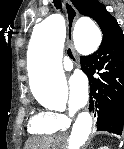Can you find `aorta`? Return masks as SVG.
<instances>
[{"instance_id":"obj_1","label":"aorta","mask_w":124,"mask_h":149,"mask_svg":"<svg viewBox=\"0 0 124 149\" xmlns=\"http://www.w3.org/2000/svg\"><path fill=\"white\" fill-rule=\"evenodd\" d=\"M74 45L81 54H90L99 47L102 35L96 24L87 17L77 20L73 32ZM65 20L52 14L37 24L28 47L30 87L35 99L45 106L67 97L68 89L62 67ZM88 112L78 115L69 138L68 149H80L92 129Z\"/></svg>"}]
</instances>
